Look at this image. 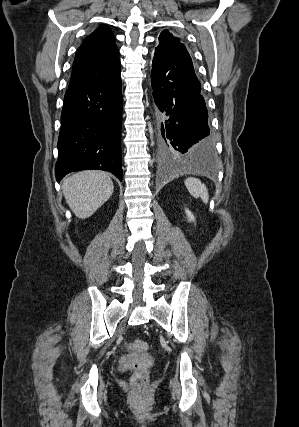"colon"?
I'll return each mask as SVG.
<instances>
[{"instance_id":"obj_1","label":"colon","mask_w":299,"mask_h":427,"mask_svg":"<svg viewBox=\"0 0 299 427\" xmlns=\"http://www.w3.org/2000/svg\"><path fill=\"white\" fill-rule=\"evenodd\" d=\"M126 348L129 351L137 352V351H146L148 349V346L145 342L139 339H136L132 342H129L126 345ZM148 381H149V372L145 368H139L138 370H136L131 378V384L137 392L145 391L148 386Z\"/></svg>"}]
</instances>
